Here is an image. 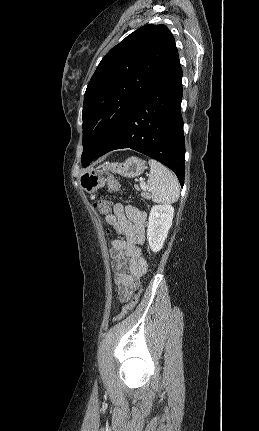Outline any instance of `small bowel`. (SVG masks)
<instances>
[{"label":"small bowel","instance_id":"obj_1","mask_svg":"<svg viewBox=\"0 0 259 431\" xmlns=\"http://www.w3.org/2000/svg\"><path fill=\"white\" fill-rule=\"evenodd\" d=\"M106 222L123 236L111 240V258L115 291L120 301L129 300L147 263L142 248L145 241L146 213L133 206L115 204L106 214Z\"/></svg>","mask_w":259,"mask_h":431}]
</instances>
